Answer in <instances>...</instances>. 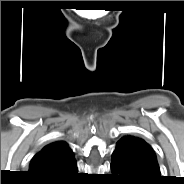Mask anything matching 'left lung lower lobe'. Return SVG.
<instances>
[{
	"label": "left lung lower lobe",
	"instance_id": "left-lung-lower-lobe-1",
	"mask_svg": "<svg viewBox=\"0 0 184 184\" xmlns=\"http://www.w3.org/2000/svg\"><path fill=\"white\" fill-rule=\"evenodd\" d=\"M111 171L123 184H158L162 179L157 160L130 142H118Z\"/></svg>",
	"mask_w": 184,
	"mask_h": 184
}]
</instances>
